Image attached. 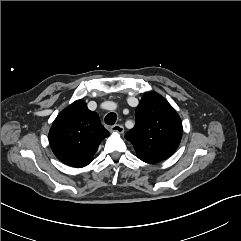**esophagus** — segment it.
Segmentation results:
<instances>
[{"instance_id": "34e87169", "label": "esophagus", "mask_w": 241, "mask_h": 241, "mask_svg": "<svg viewBox=\"0 0 241 241\" xmlns=\"http://www.w3.org/2000/svg\"><path fill=\"white\" fill-rule=\"evenodd\" d=\"M110 131L121 134L124 132V127L122 125L116 124L110 128Z\"/></svg>"}]
</instances>
